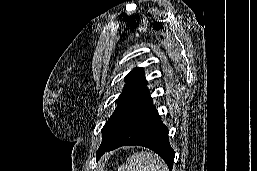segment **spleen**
Masks as SVG:
<instances>
[{
    "label": "spleen",
    "instance_id": "1",
    "mask_svg": "<svg viewBox=\"0 0 257 171\" xmlns=\"http://www.w3.org/2000/svg\"><path fill=\"white\" fill-rule=\"evenodd\" d=\"M118 171H169L165 163L155 154L141 151L127 158V163L121 165Z\"/></svg>",
    "mask_w": 257,
    "mask_h": 171
}]
</instances>
